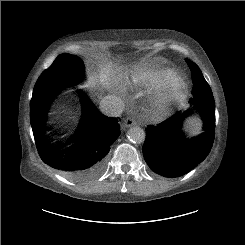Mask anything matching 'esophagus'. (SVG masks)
<instances>
[{
  "label": "esophagus",
  "instance_id": "34e87169",
  "mask_svg": "<svg viewBox=\"0 0 245 245\" xmlns=\"http://www.w3.org/2000/svg\"><path fill=\"white\" fill-rule=\"evenodd\" d=\"M123 124H124V126H125L126 128H128V127H131V126L135 125L136 122H135L133 119H131V118H126V119L124 120Z\"/></svg>",
  "mask_w": 245,
  "mask_h": 245
}]
</instances>
